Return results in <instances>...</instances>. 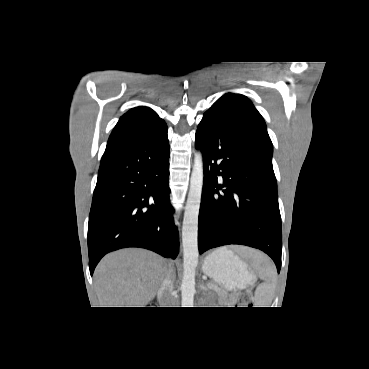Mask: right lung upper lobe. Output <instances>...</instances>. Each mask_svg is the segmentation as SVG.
I'll return each mask as SVG.
<instances>
[{
    "label": "right lung upper lobe",
    "instance_id": "1",
    "mask_svg": "<svg viewBox=\"0 0 369 369\" xmlns=\"http://www.w3.org/2000/svg\"><path fill=\"white\" fill-rule=\"evenodd\" d=\"M166 123L148 107H136L125 113L113 129L105 153L128 144L157 136Z\"/></svg>",
    "mask_w": 369,
    "mask_h": 369
}]
</instances>
